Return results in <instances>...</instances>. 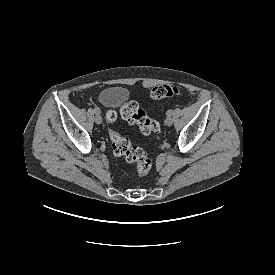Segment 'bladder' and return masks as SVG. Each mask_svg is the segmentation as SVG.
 Here are the masks:
<instances>
[{"label": "bladder", "mask_w": 275, "mask_h": 275, "mask_svg": "<svg viewBox=\"0 0 275 275\" xmlns=\"http://www.w3.org/2000/svg\"><path fill=\"white\" fill-rule=\"evenodd\" d=\"M126 90L111 86L100 92L98 99L103 107H118L125 102Z\"/></svg>", "instance_id": "1"}]
</instances>
